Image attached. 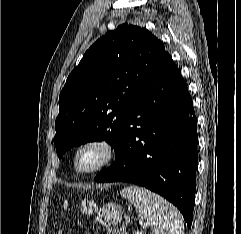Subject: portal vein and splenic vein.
<instances>
[{
    "label": "portal vein and splenic vein",
    "instance_id": "1",
    "mask_svg": "<svg viewBox=\"0 0 241 234\" xmlns=\"http://www.w3.org/2000/svg\"><path fill=\"white\" fill-rule=\"evenodd\" d=\"M135 234H142V233H140V232H136Z\"/></svg>",
    "mask_w": 241,
    "mask_h": 234
}]
</instances>
